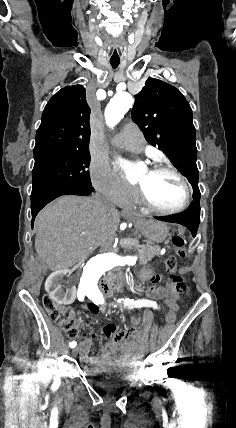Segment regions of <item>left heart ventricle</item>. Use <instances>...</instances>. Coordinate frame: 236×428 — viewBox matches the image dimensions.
Listing matches in <instances>:
<instances>
[{
    "mask_svg": "<svg viewBox=\"0 0 236 428\" xmlns=\"http://www.w3.org/2000/svg\"><path fill=\"white\" fill-rule=\"evenodd\" d=\"M131 180L136 184L143 185L150 198L162 208H175L184 200L183 185L172 173H151L145 167Z\"/></svg>",
    "mask_w": 236,
    "mask_h": 428,
    "instance_id": "b2bd125f",
    "label": "left heart ventricle"
}]
</instances>
